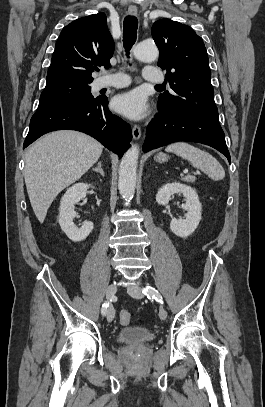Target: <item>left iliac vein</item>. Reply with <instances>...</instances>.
I'll list each match as a JSON object with an SVG mask.
<instances>
[{
    "label": "left iliac vein",
    "instance_id": "1",
    "mask_svg": "<svg viewBox=\"0 0 265 407\" xmlns=\"http://www.w3.org/2000/svg\"><path fill=\"white\" fill-rule=\"evenodd\" d=\"M128 293L137 299L142 298L144 295L141 291V287L139 286H131L128 288ZM159 317L161 320H165L167 318V311L165 310V308L161 307L159 309Z\"/></svg>",
    "mask_w": 265,
    "mask_h": 407
}]
</instances>
